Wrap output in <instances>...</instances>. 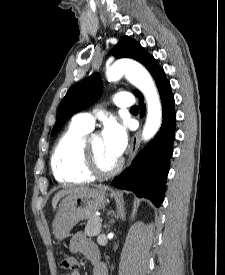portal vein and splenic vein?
Here are the masks:
<instances>
[{"instance_id": "18ae733b", "label": "portal vein and splenic vein", "mask_w": 225, "mask_h": 275, "mask_svg": "<svg viewBox=\"0 0 225 275\" xmlns=\"http://www.w3.org/2000/svg\"><path fill=\"white\" fill-rule=\"evenodd\" d=\"M98 220L101 222L102 220H101V218H98Z\"/></svg>"}]
</instances>
